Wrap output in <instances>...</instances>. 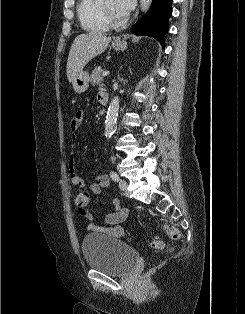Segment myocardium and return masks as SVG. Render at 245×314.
<instances>
[{"mask_svg": "<svg viewBox=\"0 0 245 314\" xmlns=\"http://www.w3.org/2000/svg\"><path fill=\"white\" fill-rule=\"evenodd\" d=\"M99 12L105 23L109 26H121L126 23L127 17H117L111 13H109L102 5V0L99 2L98 5Z\"/></svg>", "mask_w": 245, "mask_h": 314, "instance_id": "myocardium-1", "label": "myocardium"}]
</instances>
